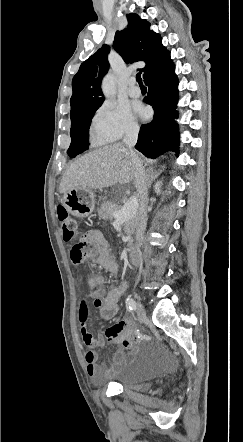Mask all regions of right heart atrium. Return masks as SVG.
I'll return each mask as SVG.
<instances>
[{
  "instance_id": "right-heart-atrium-1",
  "label": "right heart atrium",
  "mask_w": 243,
  "mask_h": 442,
  "mask_svg": "<svg viewBox=\"0 0 243 442\" xmlns=\"http://www.w3.org/2000/svg\"><path fill=\"white\" fill-rule=\"evenodd\" d=\"M92 128L107 142H117L136 135L139 125L128 107L105 101L95 113Z\"/></svg>"
}]
</instances>
